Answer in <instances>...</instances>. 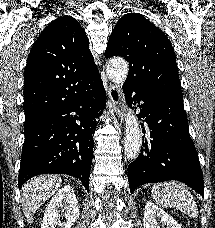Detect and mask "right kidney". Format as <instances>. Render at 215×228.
<instances>
[{
    "instance_id": "1",
    "label": "right kidney",
    "mask_w": 215,
    "mask_h": 228,
    "mask_svg": "<svg viewBox=\"0 0 215 228\" xmlns=\"http://www.w3.org/2000/svg\"><path fill=\"white\" fill-rule=\"evenodd\" d=\"M64 212V214H60ZM64 216L65 222L61 224L60 218ZM80 216L75 192L71 186H64L51 198L42 220L41 228H72Z\"/></svg>"
}]
</instances>
